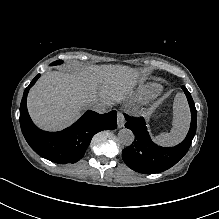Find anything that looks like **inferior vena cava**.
Wrapping results in <instances>:
<instances>
[{
    "label": "inferior vena cava",
    "instance_id": "1",
    "mask_svg": "<svg viewBox=\"0 0 219 219\" xmlns=\"http://www.w3.org/2000/svg\"><path fill=\"white\" fill-rule=\"evenodd\" d=\"M111 106V101H94L89 105V108L97 113H106Z\"/></svg>",
    "mask_w": 219,
    "mask_h": 219
}]
</instances>
